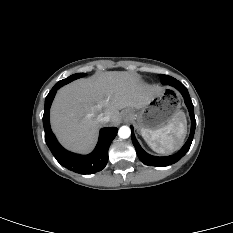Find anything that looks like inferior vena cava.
I'll return each mask as SVG.
<instances>
[{
  "label": "inferior vena cava",
  "mask_w": 233,
  "mask_h": 233,
  "mask_svg": "<svg viewBox=\"0 0 233 233\" xmlns=\"http://www.w3.org/2000/svg\"><path fill=\"white\" fill-rule=\"evenodd\" d=\"M97 120L103 125V124L108 123L110 121V118H109V116L101 113L97 116Z\"/></svg>",
  "instance_id": "1"
}]
</instances>
